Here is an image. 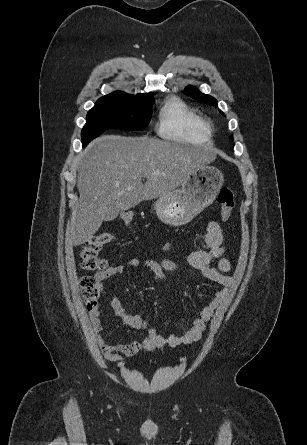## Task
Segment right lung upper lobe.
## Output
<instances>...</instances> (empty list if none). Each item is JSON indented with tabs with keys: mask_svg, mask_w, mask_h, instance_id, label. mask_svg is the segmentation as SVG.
<instances>
[{
	"mask_svg": "<svg viewBox=\"0 0 307 445\" xmlns=\"http://www.w3.org/2000/svg\"><path fill=\"white\" fill-rule=\"evenodd\" d=\"M106 96H115V97H124V98H131L136 99L140 101H154V98L151 96V93L148 94H138V95H129L124 92L116 91Z\"/></svg>",
	"mask_w": 307,
	"mask_h": 445,
	"instance_id": "1",
	"label": "right lung upper lobe"
}]
</instances>
